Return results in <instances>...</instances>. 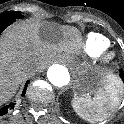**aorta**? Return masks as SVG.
Masks as SVG:
<instances>
[{
  "mask_svg": "<svg viewBox=\"0 0 124 124\" xmlns=\"http://www.w3.org/2000/svg\"><path fill=\"white\" fill-rule=\"evenodd\" d=\"M47 77L51 84L56 87H63L70 81L68 70L62 65H52L47 71Z\"/></svg>",
  "mask_w": 124,
  "mask_h": 124,
  "instance_id": "aorta-1",
  "label": "aorta"
}]
</instances>
